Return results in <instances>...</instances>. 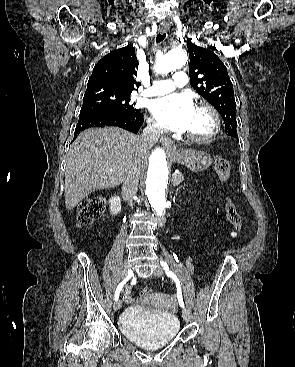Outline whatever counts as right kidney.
<instances>
[{
  "label": "right kidney",
  "instance_id": "obj_1",
  "mask_svg": "<svg viewBox=\"0 0 295 367\" xmlns=\"http://www.w3.org/2000/svg\"><path fill=\"white\" fill-rule=\"evenodd\" d=\"M110 213L115 216L121 211V200L119 196H114L109 200Z\"/></svg>",
  "mask_w": 295,
  "mask_h": 367
}]
</instances>
